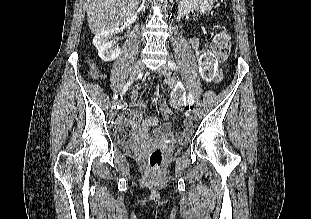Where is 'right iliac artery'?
I'll use <instances>...</instances> for the list:
<instances>
[{"label": "right iliac artery", "mask_w": 311, "mask_h": 219, "mask_svg": "<svg viewBox=\"0 0 311 219\" xmlns=\"http://www.w3.org/2000/svg\"><path fill=\"white\" fill-rule=\"evenodd\" d=\"M133 81H129L123 88L122 94H125L126 91L128 90V88L130 87V85L132 84ZM118 97V96H117ZM117 97H115V99H117Z\"/></svg>", "instance_id": "82829eb1"}]
</instances>
